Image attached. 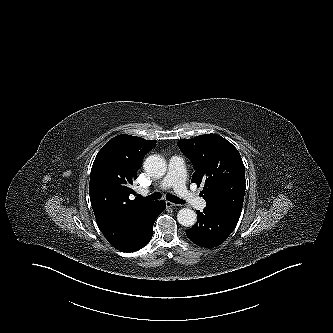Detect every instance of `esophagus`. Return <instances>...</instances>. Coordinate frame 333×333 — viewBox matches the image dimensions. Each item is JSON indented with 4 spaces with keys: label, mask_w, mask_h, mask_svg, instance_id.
Returning <instances> with one entry per match:
<instances>
[{
    "label": "esophagus",
    "mask_w": 333,
    "mask_h": 333,
    "mask_svg": "<svg viewBox=\"0 0 333 333\" xmlns=\"http://www.w3.org/2000/svg\"><path fill=\"white\" fill-rule=\"evenodd\" d=\"M166 206L167 207H176V206H178L177 204H175V203H172V202H170V201H166Z\"/></svg>",
    "instance_id": "1"
}]
</instances>
